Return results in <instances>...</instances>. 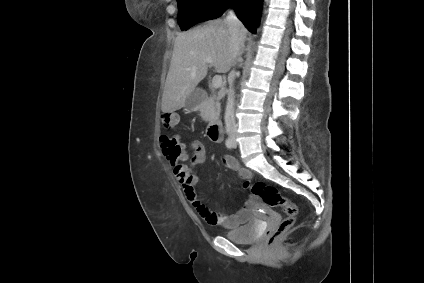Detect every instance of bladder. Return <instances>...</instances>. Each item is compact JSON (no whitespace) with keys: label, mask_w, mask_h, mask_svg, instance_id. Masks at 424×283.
I'll return each mask as SVG.
<instances>
[{"label":"bladder","mask_w":424,"mask_h":283,"mask_svg":"<svg viewBox=\"0 0 424 283\" xmlns=\"http://www.w3.org/2000/svg\"><path fill=\"white\" fill-rule=\"evenodd\" d=\"M260 233V224L252 219L243 226L226 233V237L236 244H250L255 241Z\"/></svg>","instance_id":"obj_1"}]
</instances>
